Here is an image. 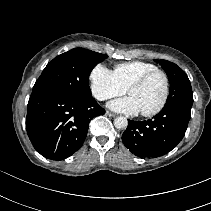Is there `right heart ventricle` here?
Returning <instances> with one entry per match:
<instances>
[{
	"instance_id": "right-heart-ventricle-1",
	"label": "right heart ventricle",
	"mask_w": 211,
	"mask_h": 211,
	"mask_svg": "<svg viewBox=\"0 0 211 211\" xmlns=\"http://www.w3.org/2000/svg\"><path fill=\"white\" fill-rule=\"evenodd\" d=\"M156 69H158V67L149 62L131 61L115 65L113 73L118 82L127 89L136 79Z\"/></svg>"
}]
</instances>
